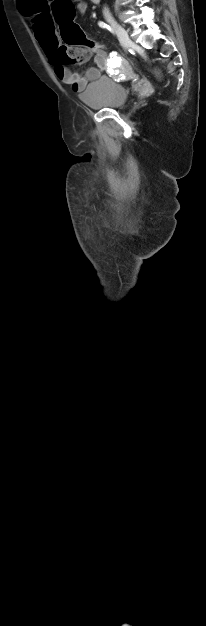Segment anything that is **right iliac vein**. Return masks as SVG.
<instances>
[{
  "mask_svg": "<svg viewBox=\"0 0 206 626\" xmlns=\"http://www.w3.org/2000/svg\"><path fill=\"white\" fill-rule=\"evenodd\" d=\"M107 21H108V22H109V23L113 26V28L115 29V31H116V33H117V35H118V37H119V39H120V41H121L122 45H123L125 48L130 47V46H131V44H132V42H131V39H130V38H129V36H128L127 31H126V30H125V29H124V28H123L120 24H118V23H117V21H116L114 18H112V17H108V18H107Z\"/></svg>",
  "mask_w": 206,
  "mask_h": 626,
  "instance_id": "obj_1",
  "label": "right iliac vein"
}]
</instances>
